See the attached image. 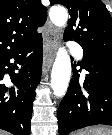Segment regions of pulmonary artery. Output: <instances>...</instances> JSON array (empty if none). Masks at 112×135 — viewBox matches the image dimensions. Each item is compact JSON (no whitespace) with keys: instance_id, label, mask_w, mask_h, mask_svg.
I'll return each mask as SVG.
<instances>
[{"instance_id":"obj_1","label":"pulmonary artery","mask_w":112,"mask_h":135,"mask_svg":"<svg viewBox=\"0 0 112 135\" xmlns=\"http://www.w3.org/2000/svg\"><path fill=\"white\" fill-rule=\"evenodd\" d=\"M69 47L71 50V53L77 57V58H81L82 57V48L79 44L75 43V42H70L69 43Z\"/></svg>"}]
</instances>
